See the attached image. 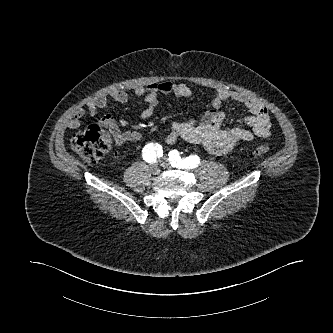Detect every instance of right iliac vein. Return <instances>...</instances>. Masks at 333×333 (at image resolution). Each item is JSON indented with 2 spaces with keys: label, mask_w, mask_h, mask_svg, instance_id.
<instances>
[{
  "label": "right iliac vein",
  "mask_w": 333,
  "mask_h": 333,
  "mask_svg": "<svg viewBox=\"0 0 333 333\" xmlns=\"http://www.w3.org/2000/svg\"><path fill=\"white\" fill-rule=\"evenodd\" d=\"M152 171L154 173H157L159 171V166L157 164H155L154 166H152Z\"/></svg>",
  "instance_id": "right-iliac-vein-1"
}]
</instances>
